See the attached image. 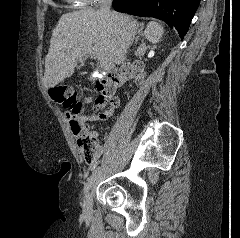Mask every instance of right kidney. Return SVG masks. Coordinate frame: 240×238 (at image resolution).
<instances>
[{
    "label": "right kidney",
    "instance_id": "right-kidney-1",
    "mask_svg": "<svg viewBox=\"0 0 240 238\" xmlns=\"http://www.w3.org/2000/svg\"><path fill=\"white\" fill-rule=\"evenodd\" d=\"M164 33L163 26L151 21L148 23L145 31H144V36L149 42L155 44L160 41Z\"/></svg>",
    "mask_w": 240,
    "mask_h": 238
}]
</instances>
